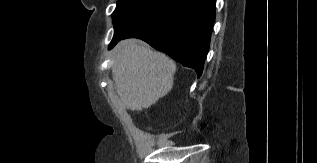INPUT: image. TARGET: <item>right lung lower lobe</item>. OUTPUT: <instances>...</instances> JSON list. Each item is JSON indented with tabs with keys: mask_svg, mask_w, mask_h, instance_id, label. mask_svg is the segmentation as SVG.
Masks as SVG:
<instances>
[{
	"mask_svg": "<svg viewBox=\"0 0 317 163\" xmlns=\"http://www.w3.org/2000/svg\"><path fill=\"white\" fill-rule=\"evenodd\" d=\"M216 0H175L157 18L110 43L135 37L149 43L200 77L215 20Z\"/></svg>",
	"mask_w": 317,
	"mask_h": 163,
	"instance_id": "obj_1",
	"label": "right lung lower lobe"
}]
</instances>
